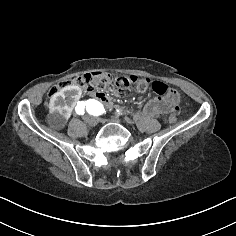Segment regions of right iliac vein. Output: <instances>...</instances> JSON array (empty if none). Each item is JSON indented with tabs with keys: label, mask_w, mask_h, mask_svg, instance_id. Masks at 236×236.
<instances>
[{
	"label": "right iliac vein",
	"mask_w": 236,
	"mask_h": 236,
	"mask_svg": "<svg viewBox=\"0 0 236 236\" xmlns=\"http://www.w3.org/2000/svg\"><path fill=\"white\" fill-rule=\"evenodd\" d=\"M86 122H87V124H88V125H90V126H91V125H93V124H94V122H95V121H94V119H93V118H91V117H90V118H88V119H87V121H86Z\"/></svg>",
	"instance_id": "63e3f726"
}]
</instances>
